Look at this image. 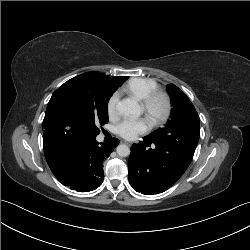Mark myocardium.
Wrapping results in <instances>:
<instances>
[{
	"label": "myocardium",
	"instance_id": "myocardium-1",
	"mask_svg": "<svg viewBox=\"0 0 250 250\" xmlns=\"http://www.w3.org/2000/svg\"><path fill=\"white\" fill-rule=\"evenodd\" d=\"M160 108L157 109V105ZM142 106L154 125L165 123L172 112V100L170 95L161 89H156L149 93L143 100Z\"/></svg>",
	"mask_w": 250,
	"mask_h": 250
}]
</instances>
